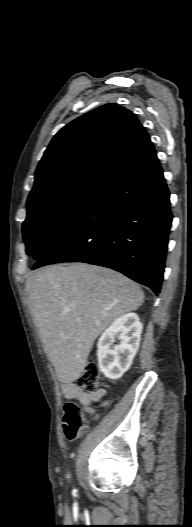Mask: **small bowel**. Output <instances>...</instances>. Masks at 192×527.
I'll return each mask as SVG.
<instances>
[{
    "label": "small bowel",
    "instance_id": "obj_1",
    "mask_svg": "<svg viewBox=\"0 0 192 527\" xmlns=\"http://www.w3.org/2000/svg\"><path fill=\"white\" fill-rule=\"evenodd\" d=\"M64 394L67 397L79 400L84 405H89L92 402L99 401L105 395V391L86 392L76 384L68 383L64 385Z\"/></svg>",
    "mask_w": 192,
    "mask_h": 527
}]
</instances>
